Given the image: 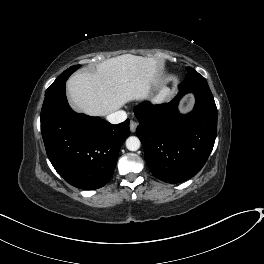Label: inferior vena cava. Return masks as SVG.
I'll list each match as a JSON object with an SVG mask.
<instances>
[{
    "mask_svg": "<svg viewBox=\"0 0 264 264\" xmlns=\"http://www.w3.org/2000/svg\"><path fill=\"white\" fill-rule=\"evenodd\" d=\"M127 119V114L123 110L115 111L107 116V121L112 124H118Z\"/></svg>",
    "mask_w": 264,
    "mask_h": 264,
    "instance_id": "602c4592",
    "label": "inferior vena cava"
}]
</instances>
